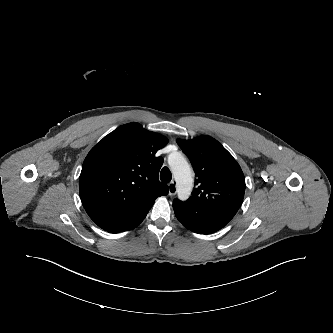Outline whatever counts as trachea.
<instances>
[{"instance_id": "3493384b", "label": "trachea", "mask_w": 333, "mask_h": 333, "mask_svg": "<svg viewBox=\"0 0 333 333\" xmlns=\"http://www.w3.org/2000/svg\"><path fill=\"white\" fill-rule=\"evenodd\" d=\"M160 179L164 183H169L172 179V174L167 167H163L160 172Z\"/></svg>"}]
</instances>
